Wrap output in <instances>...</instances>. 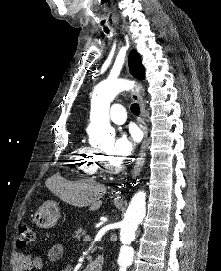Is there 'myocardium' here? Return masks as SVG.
<instances>
[{"label": "myocardium", "mask_w": 221, "mask_h": 271, "mask_svg": "<svg viewBox=\"0 0 221 271\" xmlns=\"http://www.w3.org/2000/svg\"><path fill=\"white\" fill-rule=\"evenodd\" d=\"M131 160L129 158H106L105 161H102V166L107 171H114L115 175H119L120 171H128V166H125Z\"/></svg>", "instance_id": "1"}]
</instances>
